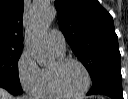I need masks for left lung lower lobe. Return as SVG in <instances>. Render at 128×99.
Segmentation results:
<instances>
[{
  "instance_id": "left-lung-lower-lobe-1",
  "label": "left lung lower lobe",
  "mask_w": 128,
  "mask_h": 99,
  "mask_svg": "<svg viewBox=\"0 0 128 99\" xmlns=\"http://www.w3.org/2000/svg\"><path fill=\"white\" fill-rule=\"evenodd\" d=\"M87 95L102 94L123 99L121 68H105L98 73Z\"/></svg>"
}]
</instances>
